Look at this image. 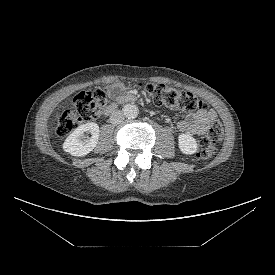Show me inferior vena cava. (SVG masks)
Returning a JSON list of instances; mask_svg holds the SVG:
<instances>
[{
    "mask_svg": "<svg viewBox=\"0 0 275 275\" xmlns=\"http://www.w3.org/2000/svg\"><path fill=\"white\" fill-rule=\"evenodd\" d=\"M124 114L122 111L116 110L111 113V116L109 118L110 123L112 124H119L123 121Z\"/></svg>",
    "mask_w": 275,
    "mask_h": 275,
    "instance_id": "602c4592",
    "label": "inferior vena cava"
}]
</instances>
